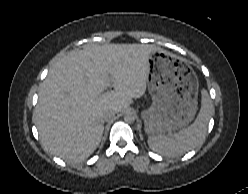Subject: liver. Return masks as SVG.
<instances>
[{
  "instance_id": "liver-1",
  "label": "liver",
  "mask_w": 248,
  "mask_h": 194,
  "mask_svg": "<svg viewBox=\"0 0 248 194\" xmlns=\"http://www.w3.org/2000/svg\"><path fill=\"white\" fill-rule=\"evenodd\" d=\"M149 44L89 45L50 70L39 90L34 122L42 146L69 162L88 158L100 143L104 116L146 91ZM112 85L113 91L105 92Z\"/></svg>"
}]
</instances>
